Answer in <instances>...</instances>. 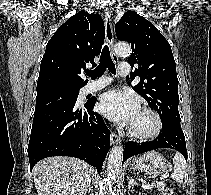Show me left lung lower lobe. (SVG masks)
Segmentation results:
<instances>
[{
	"label": "left lung lower lobe",
	"mask_w": 211,
	"mask_h": 195,
	"mask_svg": "<svg viewBox=\"0 0 211 195\" xmlns=\"http://www.w3.org/2000/svg\"><path fill=\"white\" fill-rule=\"evenodd\" d=\"M158 148H171L182 153L187 159V149L185 143V136L181 129V124L178 121H162V132L159 136L150 142L137 144L135 142H128L124 149L123 162L129 157Z\"/></svg>",
	"instance_id": "0a47b994"
}]
</instances>
